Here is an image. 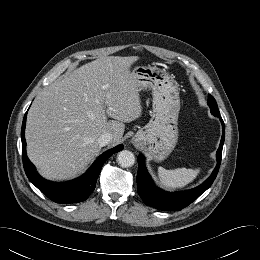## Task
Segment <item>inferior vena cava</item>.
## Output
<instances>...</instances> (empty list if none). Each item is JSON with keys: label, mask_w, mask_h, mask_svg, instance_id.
Returning <instances> with one entry per match:
<instances>
[{"label": "inferior vena cava", "mask_w": 260, "mask_h": 260, "mask_svg": "<svg viewBox=\"0 0 260 260\" xmlns=\"http://www.w3.org/2000/svg\"><path fill=\"white\" fill-rule=\"evenodd\" d=\"M113 140V135L111 133H103L98 138V143L101 147L108 145Z\"/></svg>", "instance_id": "1"}]
</instances>
